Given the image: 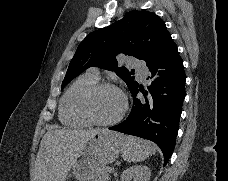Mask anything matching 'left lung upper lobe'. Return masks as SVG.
Masks as SVG:
<instances>
[{
  "label": "left lung upper lobe",
  "instance_id": "5c2ea615",
  "mask_svg": "<svg viewBox=\"0 0 228 181\" xmlns=\"http://www.w3.org/2000/svg\"><path fill=\"white\" fill-rule=\"evenodd\" d=\"M169 37L165 23L155 13L129 11L123 19L85 37L69 64L62 89L93 66L114 70L131 89L138 83L134 80V70L118 67L116 56L124 53L146 62Z\"/></svg>",
  "mask_w": 228,
  "mask_h": 181
}]
</instances>
